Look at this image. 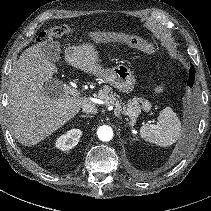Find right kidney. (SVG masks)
Here are the masks:
<instances>
[{
  "label": "right kidney",
  "mask_w": 211,
  "mask_h": 211,
  "mask_svg": "<svg viewBox=\"0 0 211 211\" xmlns=\"http://www.w3.org/2000/svg\"><path fill=\"white\" fill-rule=\"evenodd\" d=\"M81 135V130L72 129L66 134H63L59 138H57L55 146L62 151H68L78 144Z\"/></svg>",
  "instance_id": "obj_1"
}]
</instances>
